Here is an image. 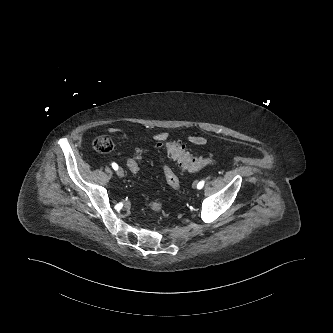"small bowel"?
<instances>
[{
	"label": "small bowel",
	"mask_w": 333,
	"mask_h": 333,
	"mask_svg": "<svg viewBox=\"0 0 333 333\" xmlns=\"http://www.w3.org/2000/svg\"><path fill=\"white\" fill-rule=\"evenodd\" d=\"M109 132L111 134H113L115 136H119V137H129V136H132L135 134L134 131L122 129L119 127H111L109 129ZM168 137H169V135L167 132L161 131V132L156 133L152 137V139L156 144H163V143L167 142ZM187 141L193 145H204L208 142V138L204 135L190 134L187 137Z\"/></svg>",
	"instance_id": "c3829d8e"
}]
</instances>
